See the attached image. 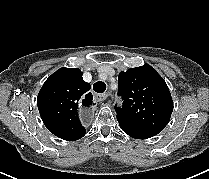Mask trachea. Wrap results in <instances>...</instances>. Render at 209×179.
<instances>
[{
	"label": "trachea",
	"instance_id": "1",
	"mask_svg": "<svg viewBox=\"0 0 209 179\" xmlns=\"http://www.w3.org/2000/svg\"><path fill=\"white\" fill-rule=\"evenodd\" d=\"M93 89L97 93H103L106 90V84L102 81H98L93 85Z\"/></svg>",
	"mask_w": 209,
	"mask_h": 179
}]
</instances>
